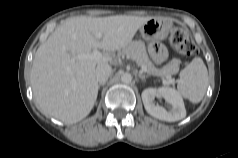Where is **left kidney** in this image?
I'll list each match as a JSON object with an SVG mask.
<instances>
[{"mask_svg": "<svg viewBox=\"0 0 238 158\" xmlns=\"http://www.w3.org/2000/svg\"><path fill=\"white\" fill-rule=\"evenodd\" d=\"M141 96L147 113L159 120L175 122L185 118L186 116V109L183 99L181 95L173 88H147L142 92ZM156 96L164 98L167 103L172 105V109L167 111L164 107L155 105L154 98Z\"/></svg>", "mask_w": 238, "mask_h": 158, "instance_id": "1", "label": "left kidney"}]
</instances>
